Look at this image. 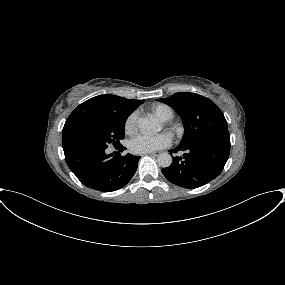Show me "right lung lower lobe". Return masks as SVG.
Wrapping results in <instances>:
<instances>
[{
  "mask_svg": "<svg viewBox=\"0 0 285 285\" xmlns=\"http://www.w3.org/2000/svg\"><path fill=\"white\" fill-rule=\"evenodd\" d=\"M121 152L125 147L116 146ZM70 170L85 186L112 192L125 186L137 170L140 156L106 154V148L96 146H72L64 151Z\"/></svg>",
  "mask_w": 285,
  "mask_h": 285,
  "instance_id": "1",
  "label": "right lung lower lobe"
}]
</instances>
